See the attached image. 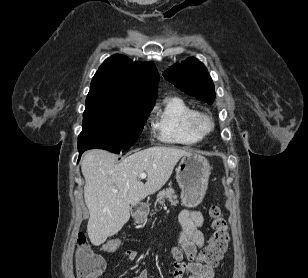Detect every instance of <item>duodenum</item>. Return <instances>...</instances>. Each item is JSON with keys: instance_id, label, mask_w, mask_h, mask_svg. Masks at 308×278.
Here are the masks:
<instances>
[{"instance_id": "obj_1", "label": "duodenum", "mask_w": 308, "mask_h": 278, "mask_svg": "<svg viewBox=\"0 0 308 278\" xmlns=\"http://www.w3.org/2000/svg\"><path fill=\"white\" fill-rule=\"evenodd\" d=\"M148 211V205L144 202H141L135 206L134 209V219L140 221L144 218Z\"/></svg>"}]
</instances>
